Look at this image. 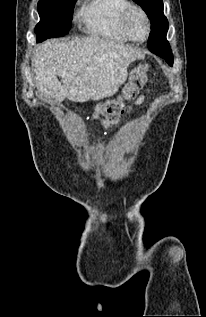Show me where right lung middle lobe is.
Returning a JSON list of instances; mask_svg holds the SVG:
<instances>
[{
	"instance_id": "1",
	"label": "right lung middle lobe",
	"mask_w": 206,
	"mask_h": 317,
	"mask_svg": "<svg viewBox=\"0 0 206 317\" xmlns=\"http://www.w3.org/2000/svg\"><path fill=\"white\" fill-rule=\"evenodd\" d=\"M77 0H40V22L35 27L36 40L64 36L71 27L73 9Z\"/></svg>"
}]
</instances>
